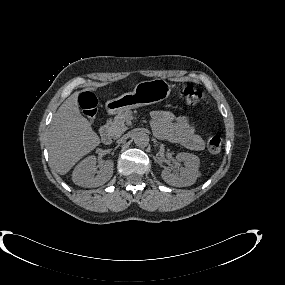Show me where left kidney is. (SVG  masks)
<instances>
[{
	"label": "left kidney",
	"mask_w": 285,
	"mask_h": 285,
	"mask_svg": "<svg viewBox=\"0 0 285 285\" xmlns=\"http://www.w3.org/2000/svg\"><path fill=\"white\" fill-rule=\"evenodd\" d=\"M178 162H183L184 167L179 173L173 174L170 170L164 169L161 173L163 180L172 186L186 187L195 183L199 176L200 159L194 154L181 152L176 155Z\"/></svg>",
	"instance_id": "1"
}]
</instances>
